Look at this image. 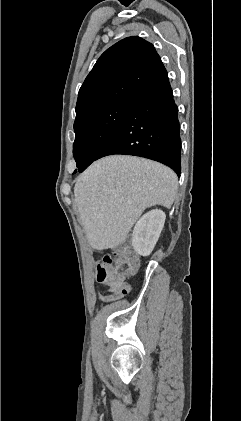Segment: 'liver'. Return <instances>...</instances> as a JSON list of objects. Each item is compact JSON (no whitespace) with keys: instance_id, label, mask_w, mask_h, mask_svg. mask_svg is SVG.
<instances>
[{"instance_id":"1","label":"liver","mask_w":241,"mask_h":421,"mask_svg":"<svg viewBox=\"0 0 241 421\" xmlns=\"http://www.w3.org/2000/svg\"><path fill=\"white\" fill-rule=\"evenodd\" d=\"M175 172L152 160L126 155L102 158L77 178L75 205L89 244L96 250L125 242L146 208H170L175 201Z\"/></svg>"}]
</instances>
